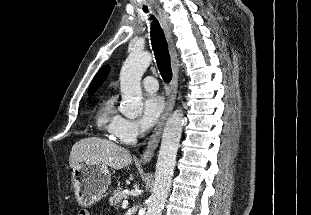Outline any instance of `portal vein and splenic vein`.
<instances>
[{
    "instance_id": "portal-vein-and-splenic-vein-1",
    "label": "portal vein and splenic vein",
    "mask_w": 311,
    "mask_h": 215,
    "mask_svg": "<svg viewBox=\"0 0 311 215\" xmlns=\"http://www.w3.org/2000/svg\"><path fill=\"white\" fill-rule=\"evenodd\" d=\"M128 206V201L124 200L122 203V208H126Z\"/></svg>"
}]
</instances>
